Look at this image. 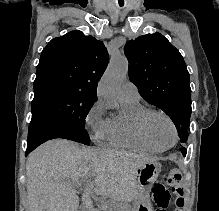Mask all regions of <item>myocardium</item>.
I'll return each instance as SVG.
<instances>
[{
	"label": "myocardium",
	"mask_w": 219,
	"mask_h": 211,
	"mask_svg": "<svg viewBox=\"0 0 219 211\" xmlns=\"http://www.w3.org/2000/svg\"><path fill=\"white\" fill-rule=\"evenodd\" d=\"M159 115L164 117L171 125L174 133V142L168 147L161 148L160 146L157 145V143L153 140L152 136L150 135L148 124L149 120L152 116ZM136 125L138 132L140 133L141 137L150 145L155 147L156 149L160 151L168 150L173 148L177 142H178V131L177 127L173 121V119L164 111L159 110V109H152V108H144L142 109L137 118H136Z\"/></svg>",
	"instance_id": "1"
}]
</instances>
